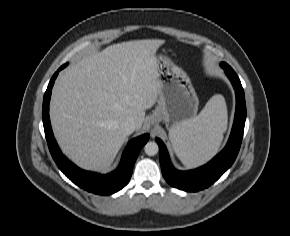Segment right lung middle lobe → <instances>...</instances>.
I'll list each match as a JSON object with an SVG mask.
<instances>
[{"label": "right lung middle lobe", "mask_w": 290, "mask_h": 236, "mask_svg": "<svg viewBox=\"0 0 290 236\" xmlns=\"http://www.w3.org/2000/svg\"><path fill=\"white\" fill-rule=\"evenodd\" d=\"M66 66H67V64L63 65V67H66Z\"/></svg>", "instance_id": "obj_1"}]
</instances>
